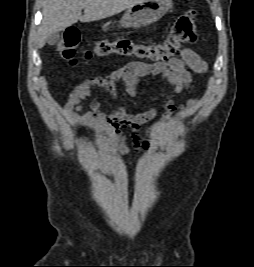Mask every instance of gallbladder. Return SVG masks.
I'll list each match as a JSON object with an SVG mask.
<instances>
[{"instance_id":"obj_1","label":"gallbladder","mask_w":254,"mask_h":267,"mask_svg":"<svg viewBox=\"0 0 254 267\" xmlns=\"http://www.w3.org/2000/svg\"><path fill=\"white\" fill-rule=\"evenodd\" d=\"M60 40V34L58 32L51 34L47 38L48 45L52 46L55 45Z\"/></svg>"}]
</instances>
